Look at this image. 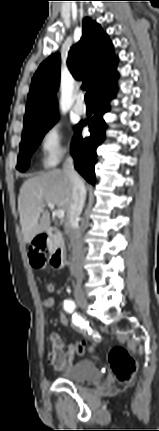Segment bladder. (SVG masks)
<instances>
[{"label": "bladder", "mask_w": 159, "mask_h": 431, "mask_svg": "<svg viewBox=\"0 0 159 431\" xmlns=\"http://www.w3.org/2000/svg\"><path fill=\"white\" fill-rule=\"evenodd\" d=\"M59 377L72 383H82L101 377L100 369L90 360H83L68 367Z\"/></svg>", "instance_id": "obj_1"}]
</instances>
